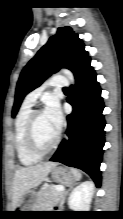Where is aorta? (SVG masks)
Masks as SVG:
<instances>
[{"instance_id": "762f6f07", "label": "aorta", "mask_w": 123, "mask_h": 219, "mask_svg": "<svg viewBox=\"0 0 123 219\" xmlns=\"http://www.w3.org/2000/svg\"><path fill=\"white\" fill-rule=\"evenodd\" d=\"M62 72L69 79L71 84H74V76H73L72 72L67 70V69H63Z\"/></svg>"}]
</instances>
